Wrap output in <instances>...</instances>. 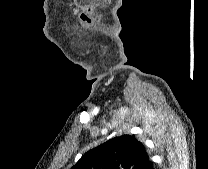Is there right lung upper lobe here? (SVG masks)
Returning a JSON list of instances; mask_svg holds the SVG:
<instances>
[{"mask_svg":"<svg viewBox=\"0 0 208 169\" xmlns=\"http://www.w3.org/2000/svg\"><path fill=\"white\" fill-rule=\"evenodd\" d=\"M145 146L131 135L112 138L87 151L71 169H149Z\"/></svg>","mask_w":208,"mask_h":169,"instance_id":"right-lung-upper-lobe-1","label":"right lung upper lobe"}]
</instances>
